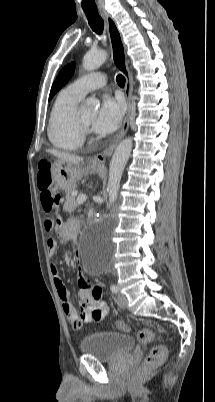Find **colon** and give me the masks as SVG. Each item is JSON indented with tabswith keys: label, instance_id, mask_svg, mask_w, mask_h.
Returning <instances> with one entry per match:
<instances>
[{
	"label": "colon",
	"instance_id": "obj_1",
	"mask_svg": "<svg viewBox=\"0 0 215 402\" xmlns=\"http://www.w3.org/2000/svg\"><path fill=\"white\" fill-rule=\"evenodd\" d=\"M51 157L39 156L38 157V170H37V186L41 192V203L45 211L49 212L55 209L59 204L60 197L53 189V180L51 174ZM54 225L52 219H48L45 222L47 230H51ZM118 329L121 331H127L128 326L124 322L117 323ZM155 334L152 330L143 329L137 334V338L141 343H148L152 341ZM167 349L163 345H157L153 347L147 354L142 367V373H147L153 368L159 366L165 359Z\"/></svg>",
	"mask_w": 215,
	"mask_h": 402
}]
</instances>
